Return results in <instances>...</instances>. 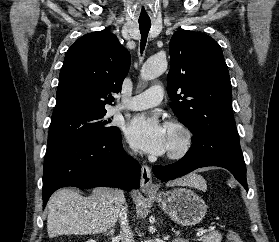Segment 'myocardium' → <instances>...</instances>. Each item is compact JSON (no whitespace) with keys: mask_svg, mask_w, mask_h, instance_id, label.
Returning a JSON list of instances; mask_svg holds the SVG:
<instances>
[{"mask_svg":"<svg viewBox=\"0 0 279 242\" xmlns=\"http://www.w3.org/2000/svg\"><path fill=\"white\" fill-rule=\"evenodd\" d=\"M167 127L176 131L179 135V144L176 148L168 150L167 158L170 160H181L191 150L193 145V133L190 128L181 121H169Z\"/></svg>","mask_w":279,"mask_h":242,"instance_id":"obj_1","label":"myocardium"}]
</instances>
